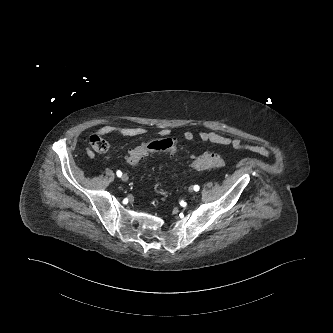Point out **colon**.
I'll list each match as a JSON object with an SVG mask.
<instances>
[{
  "mask_svg": "<svg viewBox=\"0 0 333 333\" xmlns=\"http://www.w3.org/2000/svg\"><path fill=\"white\" fill-rule=\"evenodd\" d=\"M90 144L97 152H106L110 148V142L98 134L90 137ZM157 151H176V142L169 137H161L149 142H144L132 148L125 157V162L130 166H137L147 155ZM224 159L215 152H206L192 161V168L205 170L223 167Z\"/></svg>",
  "mask_w": 333,
  "mask_h": 333,
  "instance_id": "colon-1",
  "label": "colon"
}]
</instances>
